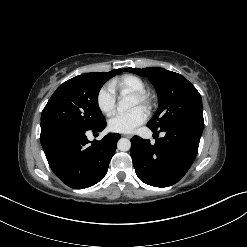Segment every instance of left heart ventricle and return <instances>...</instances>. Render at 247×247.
I'll return each mask as SVG.
<instances>
[{"instance_id":"obj_1","label":"left heart ventricle","mask_w":247,"mask_h":247,"mask_svg":"<svg viewBox=\"0 0 247 247\" xmlns=\"http://www.w3.org/2000/svg\"><path fill=\"white\" fill-rule=\"evenodd\" d=\"M131 106H132V107H137V106H139V102L137 101V99L132 98Z\"/></svg>"}]
</instances>
